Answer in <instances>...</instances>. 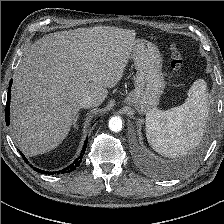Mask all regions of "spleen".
I'll return each instance as SVG.
<instances>
[{"instance_id":"obj_1","label":"spleen","mask_w":224,"mask_h":224,"mask_svg":"<svg viewBox=\"0 0 224 224\" xmlns=\"http://www.w3.org/2000/svg\"><path fill=\"white\" fill-rule=\"evenodd\" d=\"M208 115L207 85L203 79H198L182 105L166 111L154 108L147 113V140L161 155H186L200 143Z\"/></svg>"}]
</instances>
